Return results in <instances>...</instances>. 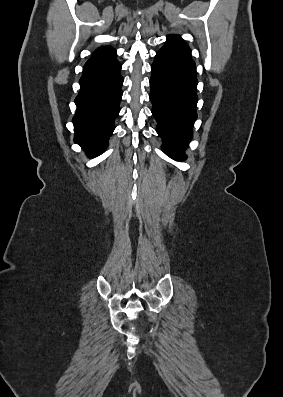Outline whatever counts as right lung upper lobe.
<instances>
[{"instance_id": "right-lung-upper-lobe-1", "label": "right lung upper lobe", "mask_w": 283, "mask_h": 397, "mask_svg": "<svg viewBox=\"0 0 283 397\" xmlns=\"http://www.w3.org/2000/svg\"><path fill=\"white\" fill-rule=\"evenodd\" d=\"M116 57V50L110 46L99 47L86 62L85 66L93 65L108 61Z\"/></svg>"}]
</instances>
